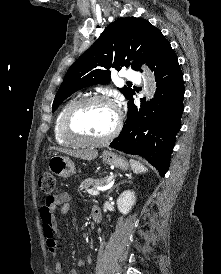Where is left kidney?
Listing matches in <instances>:
<instances>
[{
  "instance_id": "5707ae66",
  "label": "left kidney",
  "mask_w": 221,
  "mask_h": 274,
  "mask_svg": "<svg viewBox=\"0 0 221 274\" xmlns=\"http://www.w3.org/2000/svg\"><path fill=\"white\" fill-rule=\"evenodd\" d=\"M136 202V197L134 191L126 190L117 199L118 210L122 214H128L132 206Z\"/></svg>"
}]
</instances>
